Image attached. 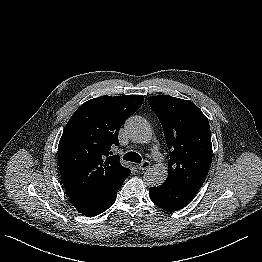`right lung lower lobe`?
Returning a JSON list of instances; mask_svg holds the SVG:
<instances>
[{
    "label": "right lung lower lobe",
    "mask_w": 262,
    "mask_h": 262,
    "mask_svg": "<svg viewBox=\"0 0 262 262\" xmlns=\"http://www.w3.org/2000/svg\"><path fill=\"white\" fill-rule=\"evenodd\" d=\"M116 195L117 191L110 194L106 198L82 200L70 199V202L80 213L85 216L92 217L108 209L114 203Z\"/></svg>",
    "instance_id": "98d812e1"
}]
</instances>
